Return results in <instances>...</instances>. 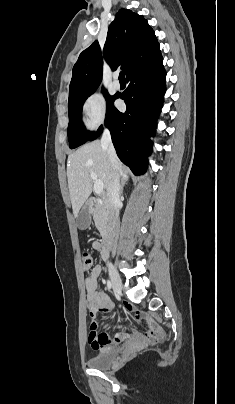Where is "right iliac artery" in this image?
I'll return each instance as SVG.
<instances>
[{"label":"right iliac artery","instance_id":"obj_1","mask_svg":"<svg viewBox=\"0 0 235 404\" xmlns=\"http://www.w3.org/2000/svg\"><path fill=\"white\" fill-rule=\"evenodd\" d=\"M107 287H108L109 290H111V288H112V284H111V282L109 280L107 281Z\"/></svg>","mask_w":235,"mask_h":404}]
</instances>
